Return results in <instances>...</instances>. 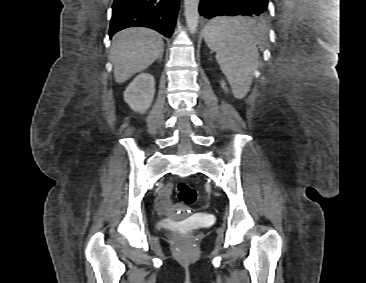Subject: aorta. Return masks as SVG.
I'll use <instances>...</instances> for the list:
<instances>
[{
    "label": "aorta",
    "instance_id": "obj_1",
    "mask_svg": "<svg viewBox=\"0 0 366 283\" xmlns=\"http://www.w3.org/2000/svg\"><path fill=\"white\" fill-rule=\"evenodd\" d=\"M199 0H184L185 18L191 34L197 32L199 25Z\"/></svg>",
    "mask_w": 366,
    "mask_h": 283
}]
</instances>
